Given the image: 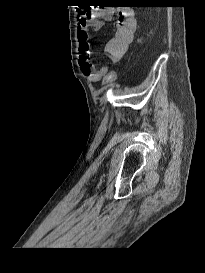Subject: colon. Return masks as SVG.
<instances>
[{
    "label": "colon",
    "instance_id": "1",
    "mask_svg": "<svg viewBox=\"0 0 205 273\" xmlns=\"http://www.w3.org/2000/svg\"><path fill=\"white\" fill-rule=\"evenodd\" d=\"M116 79V73L114 71H111L110 73L107 74V76L105 77V84H111L112 82H114Z\"/></svg>",
    "mask_w": 205,
    "mask_h": 273
}]
</instances>
